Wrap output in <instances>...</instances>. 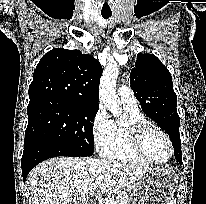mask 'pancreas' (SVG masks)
<instances>
[{
  "mask_svg": "<svg viewBox=\"0 0 206 204\" xmlns=\"http://www.w3.org/2000/svg\"><path fill=\"white\" fill-rule=\"evenodd\" d=\"M108 200L113 201L115 204H128L126 201V194L122 191L116 193L112 197L105 199L104 202L101 204H109Z\"/></svg>",
  "mask_w": 206,
  "mask_h": 204,
  "instance_id": "pancreas-1",
  "label": "pancreas"
}]
</instances>
